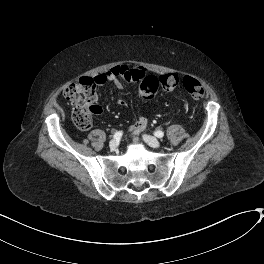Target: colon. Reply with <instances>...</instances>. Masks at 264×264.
Masks as SVG:
<instances>
[{"mask_svg": "<svg viewBox=\"0 0 264 264\" xmlns=\"http://www.w3.org/2000/svg\"><path fill=\"white\" fill-rule=\"evenodd\" d=\"M124 68H115L116 73H122ZM177 74H164L159 77L148 76L140 82L139 93L145 99L153 98L159 87L168 92L174 91L179 85ZM182 84L190 96L200 99L205 95L202 84L192 76H185ZM63 95L73 105L72 120L81 130H88L92 126V116L98 112L97 89L95 81L91 78H82L68 84Z\"/></svg>", "mask_w": 264, "mask_h": 264, "instance_id": "1", "label": "colon"}]
</instances>
